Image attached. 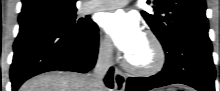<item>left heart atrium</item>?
I'll use <instances>...</instances> for the list:
<instances>
[{
    "instance_id": "1",
    "label": "left heart atrium",
    "mask_w": 220,
    "mask_h": 91,
    "mask_svg": "<svg viewBox=\"0 0 220 91\" xmlns=\"http://www.w3.org/2000/svg\"><path fill=\"white\" fill-rule=\"evenodd\" d=\"M101 26L115 47L129 57L145 38L137 18L125 11L107 13Z\"/></svg>"
}]
</instances>
